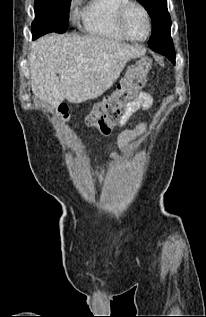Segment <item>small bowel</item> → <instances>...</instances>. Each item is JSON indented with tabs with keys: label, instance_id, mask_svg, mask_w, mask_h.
<instances>
[{
	"label": "small bowel",
	"instance_id": "c3829d8e",
	"mask_svg": "<svg viewBox=\"0 0 206 317\" xmlns=\"http://www.w3.org/2000/svg\"><path fill=\"white\" fill-rule=\"evenodd\" d=\"M153 99L148 93H140L133 101H131L126 109V112L121 120V125H124L130 116L138 109H148L152 105ZM147 123L142 122L138 124L132 130H124L118 135L119 147L127 152L134 151L136 149L135 140L139 138L146 130ZM115 156L114 154L112 155Z\"/></svg>",
	"mask_w": 206,
	"mask_h": 317
}]
</instances>
